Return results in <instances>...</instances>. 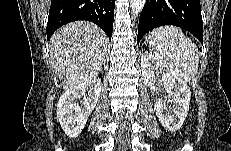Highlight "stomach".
I'll return each instance as SVG.
<instances>
[{
	"mask_svg": "<svg viewBox=\"0 0 231 151\" xmlns=\"http://www.w3.org/2000/svg\"><path fill=\"white\" fill-rule=\"evenodd\" d=\"M147 42H148V43L150 42V35L148 36Z\"/></svg>",
	"mask_w": 231,
	"mask_h": 151,
	"instance_id": "stomach-1",
	"label": "stomach"
}]
</instances>
